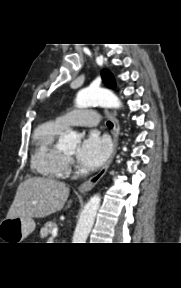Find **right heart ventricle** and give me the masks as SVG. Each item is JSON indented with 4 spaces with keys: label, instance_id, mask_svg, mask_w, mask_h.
Listing matches in <instances>:
<instances>
[{
    "label": "right heart ventricle",
    "instance_id": "right-heart-ventricle-1",
    "mask_svg": "<svg viewBox=\"0 0 181 288\" xmlns=\"http://www.w3.org/2000/svg\"><path fill=\"white\" fill-rule=\"evenodd\" d=\"M66 130L58 121L40 125L34 134L32 167L40 174L57 178L67 170V156L58 147L57 139Z\"/></svg>",
    "mask_w": 181,
    "mask_h": 288
}]
</instances>
